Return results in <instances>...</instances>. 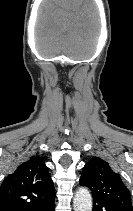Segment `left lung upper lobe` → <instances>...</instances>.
Segmentation results:
<instances>
[{
	"instance_id": "left-lung-upper-lobe-1",
	"label": "left lung upper lobe",
	"mask_w": 133,
	"mask_h": 211,
	"mask_svg": "<svg viewBox=\"0 0 133 211\" xmlns=\"http://www.w3.org/2000/svg\"><path fill=\"white\" fill-rule=\"evenodd\" d=\"M80 184L92 191L94 200L133 211L129 190L121 177L103 159L93 157L83 167Z\"/></svg>"
}]
</instances>
